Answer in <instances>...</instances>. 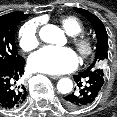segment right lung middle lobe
I'll list each match as a JSON object with an SVG mask.
<instances>
[{"instance_id":"obj_1","label":"right lung middle lobe","mask_w":117,"mask_h":117,"mask_svg":"<svg viewBox=\"0 0 117 117\" xmlns=\"http://www.w3.org/2000/svg\"><path fill=\"white\" fill-rule=\"evenodd\" d=\"M29 14L6 15L0 17V63H15L22 59L15 45L16 24L27 18Z\"/></svg>"}]
</instances>
